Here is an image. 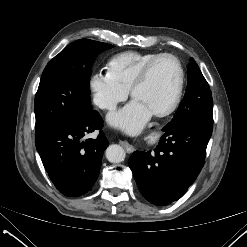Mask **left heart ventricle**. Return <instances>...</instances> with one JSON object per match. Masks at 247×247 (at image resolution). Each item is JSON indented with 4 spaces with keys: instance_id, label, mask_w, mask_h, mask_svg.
<instances>
[{
    "instance_id": "obj_1",
    "label": "left heart ventricle",
    "mask_w": 247,
    "mask_h": 247,
    "mask_svg": "<svg viewBox=\"0 0 247 247\" xmlns=\"http://www.w3.org/2000/svg\"><path fill=\"white\" fill-rule=\"evenodd\" d=\"M178 80L176 63L170 58L159 60L146 81L136 90L134 99L150 111L164 108L171 100Z\"/></svg>"
}]
</instances>
